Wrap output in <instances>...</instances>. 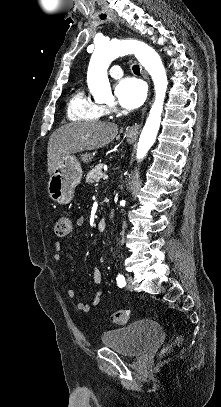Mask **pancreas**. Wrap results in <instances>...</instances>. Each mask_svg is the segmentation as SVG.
I'll return each mask as SVG.
<instances>
[{"mask_svg":"<svg viewBox=\"0 0 221 407\" xmlns=\"http://www.w3.org/2000/svg\"><path fill=\"white\" fill-rule=\"evenodd\" d=\"M103 175V166L97 165L91 169L86 176V183L93 184L99 182Z\"/></svg>","mask_w":221,"mask_h":407,"instance_id":"obj_1","label":"pancreas"}]
</instances>
